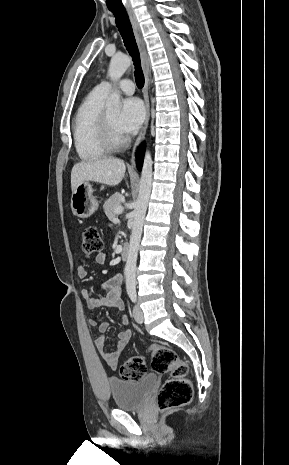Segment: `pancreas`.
I'll use <instances>...</instances> for the list:
<instances>
[{"instance_id":"obj_1","label":"pancreas","mask_w":289,"mask_h":465,"mask_svg":"<svg viewBox=\"0 0 289 465\" xmlns=\"http://www.w3.org/2000/svg\"><path fill=\"white\" fill-rule=\"evenodd\" d=\"M122 197L120 193H115L104 203L103 209L109 220H112L116 215L115 210L121 206Z\"/></svg>"}]
</instances>
